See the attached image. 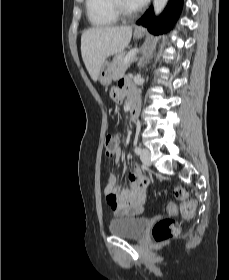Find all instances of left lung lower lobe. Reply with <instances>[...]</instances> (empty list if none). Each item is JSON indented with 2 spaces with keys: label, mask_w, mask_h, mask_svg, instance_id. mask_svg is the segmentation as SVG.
<instances>
[{
  "label": "left lung lower lobe",
  "mask_w": 229,
  "mask_h": 280,
  "mask_svg": "<svg viewBox=\"0 0 229 280\" xmlns=\"http://www.w3.org/2000/svg\"><path fill=\"white\" fill-rule=\"evenodd\" d=\"M182 3L183 0H170L167 8L159 18L154 17L153 8L151 7L137 24L147 27L148 30L154 32V34L167 32L177 20L182 8Z\"/></svg>",
  "instance_id": "left-lung-lower-lobe-1"
}]
</instances>
